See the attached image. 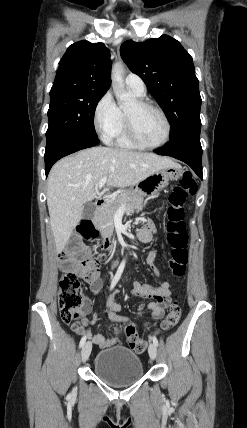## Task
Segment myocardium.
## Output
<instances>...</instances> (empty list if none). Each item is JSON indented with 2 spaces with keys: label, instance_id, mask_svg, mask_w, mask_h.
<instances>
[{
  "label": "myocardium",
  "instance_id": "1",
  "mask_svg": "<svg viewBox=\"0 0 247 428\" xmlns=\"http://www.w3.org/2000/svg\"><path fill=\"white\" fill-rule=\"evenodd\" d=\"M135 104L139 108H151V109L155 110L162 117L164 124H165V135H164V138L159 143H156V144H149V143L142 141L138 137V135L134 129L130 115L125 111L124 112L125 126H126V131H127L129 139L136 146L141 147V148H146V149H158V148H161L164 145H166L170 140L172 128H171L170 120H169L167 114L165 113V111L160 106H158V105H156L150 101L143 100V99H137L135 101Z\"/></svg>",
  "mask_w": 247,
  "mask_h": 428
}]
</instances>
